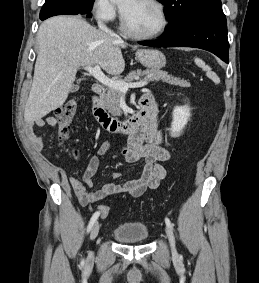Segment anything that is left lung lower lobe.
<instances>
[{
    "label": "left lung lower lobe",
    "instance_id": "obj_1",
    "mask_svg": "<svg viewBox=\"0 0 259 283\" xmlns=\"http://www.w3.org/2000/svg\"><path fill=\"white\" fill-rule=\"evenodd\" d=\"M139 43L151 47L200 48L229 62L227 21L222 6L209 9L177 28L166 30L159 40Z\"/></svg>",
    "mask_w": 259,
    "mask_h": 283
}]
</instances>
